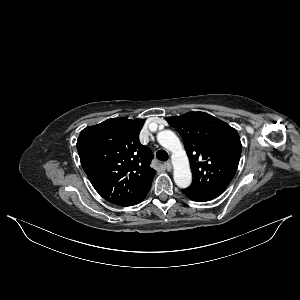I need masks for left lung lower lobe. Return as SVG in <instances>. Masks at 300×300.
Wrapping results in <instances>:
<instances>
[{
  "label": "left lung lower lobe",
  "mask_w": 300,
  "mask_h": 300,
  "mask_svg": "<svg viewBox=\"0 0 300 300\" xmlns=\"http://www.w3.org/2000/svg\"><path fill=\"white\" fill-rule=\"evenodd\" d=\"M182 192L189 197L193 201L197 202H206L212 199H215L219 195L216 194H210V193H202L190 188L182 189Z\"/></svg>",
  "instance_id": "1"
}]
</instances>
